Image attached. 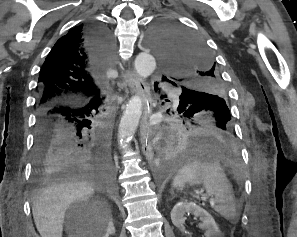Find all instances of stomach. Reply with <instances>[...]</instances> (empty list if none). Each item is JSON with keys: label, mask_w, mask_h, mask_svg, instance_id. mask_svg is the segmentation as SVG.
<instances>
[{"label": "stomach", "mask_w": 297, "mask_h": 237, "mask_svg": "<svg viewBox=\"0 0 297 237\" xmlns=\"http://www.w3.org/2000/svg\"><path fill=\"white\" fill-rule=\"evenodd\" d=\"M183 187H184V185L181 187H176V188H178L179 190H183Z\"/></svg>", "instance_id": "0dacf381"}]
</instances>
